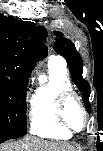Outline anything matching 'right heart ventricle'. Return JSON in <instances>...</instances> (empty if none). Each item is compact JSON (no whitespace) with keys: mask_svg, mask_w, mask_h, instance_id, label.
<instances>
[{"mask_svg":"<svg viewBox=\"0 0 103 151\" xmlns=\"http://www.w3.org/2000/svg\"><path fill=\"white\" fill-rule=\"evenodd\" d=\"M49 79L39 85L30 98V132L38 137L65 140L71 133L56 120L55 108L59 94L71 89L64 65L48 63Z\"/></svg>","mask_w":103,"mask_h":151,"instance_id":"obj_1","label":"right heart ventricle"}]
</instances>
